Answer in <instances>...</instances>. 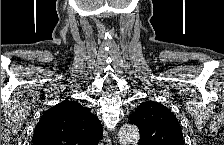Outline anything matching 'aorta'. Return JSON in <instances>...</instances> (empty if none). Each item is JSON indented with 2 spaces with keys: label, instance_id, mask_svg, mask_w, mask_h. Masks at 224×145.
<instances>
[{
  "label": "aorta",
  "instance_id": "1",
  "mask_svg": "<svg viewBox=\"0 0 224 145\" xmlns=\"http://www.w3.org/2000/svg\"><path fill=\"white\" fill-rule=\"evenodd\" d=\"M118 137L121 145H137L140 133L135 125L126 124L120 128Z\"/></svg>",
  "mask_w": 224,
  "mask_h": 145
}]
</instances>
